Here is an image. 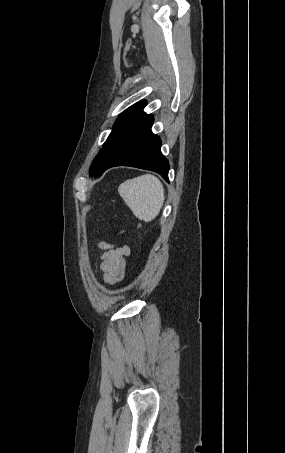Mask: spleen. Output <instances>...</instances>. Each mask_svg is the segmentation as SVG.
I'll return each instance as SVG.
<instances>
[{
	"instance_id": "3e777b00",
	"label": "spleen",
	"mask_w": 285,
	"mask_h": 453,
	"mask_svg": "<svg viewBox=\"0 0 285 453\" xmlns=\"http://www.w3.org/2000/svg\"><path fill=\"white\" fill-rule=\"evenodd\" d=\"M118 192L133 214L145 222L155 219L165 200L162 183L151 174L126 180Z\"/></svg>"
}]
</instances>
